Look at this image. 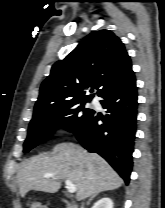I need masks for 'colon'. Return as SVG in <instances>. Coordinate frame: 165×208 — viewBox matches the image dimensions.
I'll use <instances>...</instances> for the list:
<instances>
[{"mask_svg": "<svg viewBox=\"0 0 165 208\" xmlns=\"http://www.w3.org/2000/svg\"><path fill=\"white\" fill-rule=\"evenodd\" d=\"M29 208H45V206L37 200H32L30 202Z\"/></svg>", "mask_w": 165, "mask_h": 208, "instance_id": "1", "label": "colon"}]
</instances>
